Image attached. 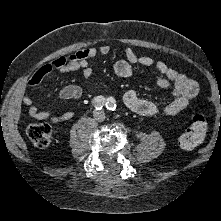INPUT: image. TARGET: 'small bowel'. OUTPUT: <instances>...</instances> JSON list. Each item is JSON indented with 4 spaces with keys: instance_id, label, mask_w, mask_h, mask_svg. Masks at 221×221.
Listing matches in <instances>:
<instances>
[{
    "instance_id": "c3829d8e",
    "label": "small bowel",
    "mask_w": 221,
    "mask_h": 221,
    "mask_svg": "<svg viewBox=\"0 0 221 221\" xmlns=\"http://www.w3.org/2000/svg\"><path fill=\"white\" fill-rule=\"evenodd\" d=\"M108 45L100 47H86L68 57H60L52 60L49 64L40 67L29 79L31 86L39 85L42 80L53 70L59 72H70L80 70L85 80L93 73L91 60L105 56L109 53ZM126 59L115 63L113 70L119 77H130L134 72L135 65L149 67L154 64L150 56L137 54L130 46L125 49ZM157 72V85L163 89H171L174 99L164 106L140 97L135 91L129 90L123 94L124 104L133 112L142 116H173L186 109L191 101L199 93L198 83L187 75L168 66L164 62L155 64ZM59 96L64 100H75L82 96V89L77 85L64 86ZM22 102L29 108L31 117L38 120H49L52 123H62L71 120L75 113L72 110L59 115L52 114L49 110H39L34 101L27 95L22 97Z\"/></svg>"
}]
</instances>
